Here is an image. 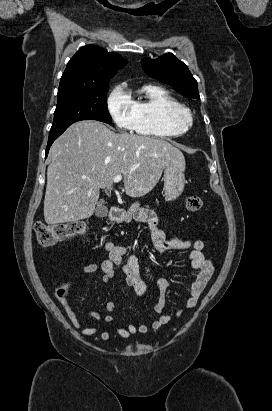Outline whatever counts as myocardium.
<instances>
[{
  "label": "myocardium",
  "mask_w": 272,
  "mask_h": 411,
  "mask_svg": "<svg viewBox=\"0 0 272 411\" xmlns=\"http://www.w3.org/2000/svg\"><path fill=\"white\" fill-rule=\"evenodd\" d=\"M172 122L176 126L188 129L192 124V115L190 112H178L172 115Z\"/></svg>",
  "instance_id": "f54148a6"
}]
</instances>
